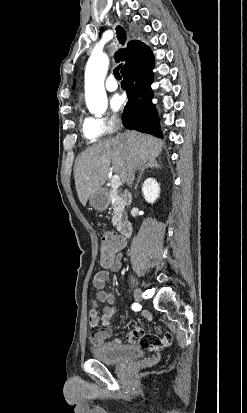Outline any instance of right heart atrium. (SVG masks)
Wrapping results in <instances>:
<instances>
[{
	"instance_id": "d8ad5b80",
	"label": "right heart atrium",
	"mask_w": 247,
	"mask_h": 413,
	"mask_svg": "<svg viewBox=\"0 0 247 413\" xmlns=\"http://www.w3.org/2000/svg\"><path fill=\"white\" fill-rule=\"evenodd\" d=\"M89 130L95 133L112 134L115 130L113 121H103L102 119H93L88 122Z\"/></svg>"
}]
</instances>
